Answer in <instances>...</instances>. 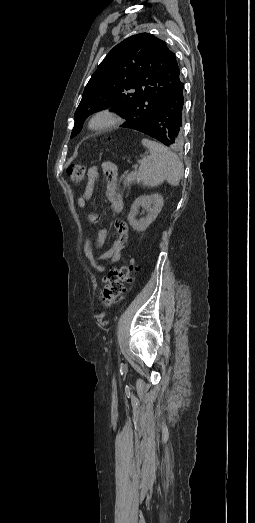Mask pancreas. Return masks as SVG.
<instances>
[{
  "instance_id": "pancreas-1",
  "label": "pancreas",
  "mask_w": 255,
  "mask_h": 523,
  "mask_svg": "<svg viewBox=\"0 0 255 523\" xmlns=\"http://www.w3.org/2000/svg\"><path fill=\"white\" fill-rule=\"evenodd\" d=\"M120 180H123L124 186H129V184H135L137 178V174L131 173V174H123L121 176Z\"/></svg>"
}]
</instances>
